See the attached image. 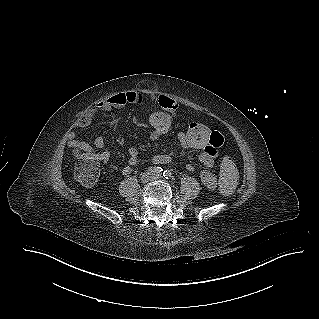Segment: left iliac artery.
I'll use <instances>...</instances> for the list:
<instances>
[{"instance_id": "obj_1", "label": "left iliac artery", "mask_w": 319, "mask_h": 319, "mask_svg": "<svg viewBox=\"0 0 319 319\" xmlns=\"http://www.w3.org/2000/svg\"><path fill=\"white\" fill-rule=\"evenodd\" d=\"M163 176H164V178H166V179H170V178L172 177V173H171L170 170H165V171L163 172Z\"/></svg>"}]
</instances>
